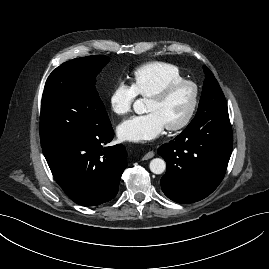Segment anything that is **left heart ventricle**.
<instances>
[{
  "label": "left heart ventricle",
  "instance_id": "obj_1",
  "mask_svg": "<svg viewBox=\"0 0 269 269\" xmlns=\"http://www.w3.org/2000/svg\"><path fill=\"white\" fill-rule=\"evenodd\" d=\"M193 98V89L188 85L176 88L166 99H148L146 111L157 113L165 125L181 121L187 114Z\"/></svg>",
  "mask_w": 269,
  "mask_h": 269
}]
</instances>
